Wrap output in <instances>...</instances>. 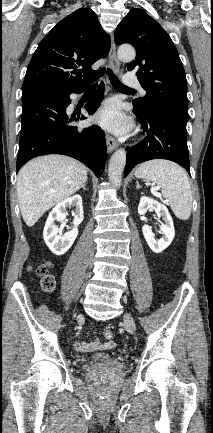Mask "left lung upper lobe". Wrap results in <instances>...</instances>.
I'll list each match as a JSON object with an SVG mask.
<instances>
[{
    "label": "left lung upper lobe",
    "mask_w": 213,
    "mask_h": 433,
    "mask_svg": "<svg viewBox=\"0 0 213 433\" xmlns=\"http://www.w3.org/2000/svg\"><path fill=\"white\" fill-rule=\"evenodd\" d=\"M117 45L137 51L127 70H135L146 95L133 100L140 112L171 110L188 118L187 80L178 51L168 33L142 9H132L115 31Z\"/></svg>",
    "instance_id": "1"
}]
</instances>
